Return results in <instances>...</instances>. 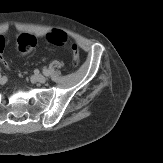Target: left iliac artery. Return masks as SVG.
<instances>
[{
	"label": "left iliac artery",
	"mask_w": 163,
	"mask_h": 163,
	"mask_svg": "<svg viewBox=\"0 0 163 163\" xmlns=\"http://www.w3.org/2000/svg\"><path fill=\"white\" fill-rule=\"evenodd\" d=\"M43 74L46 75V76H49V71L47 69H44Z\"/></svg>",
	"instance_id": "1"
}]
</instances>
